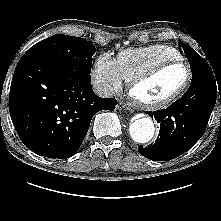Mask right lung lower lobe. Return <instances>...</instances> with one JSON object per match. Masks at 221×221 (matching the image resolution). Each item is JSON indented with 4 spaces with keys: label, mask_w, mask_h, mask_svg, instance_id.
I'll return each instance as SVG.
<instances>
[{
    "label": "right lung lower lobe",
    "mask_w": 221,
    "mask_h": 221,
    "mask_svg": "<svg viewBox=\"0 0 221 221\" xmlns=\"http://www.w3.org/2000/svg\"><path fill=\"white\" fill-rule=\"evenodd\" d=\"M116 104V99L94 93L90 74L31 51L18 62L9 94V111L21 141L33 152L57 159L74 155L94 114Z\"/></svg>",
    "instance_id": "1"
}]
</instances>
